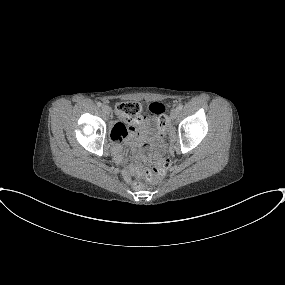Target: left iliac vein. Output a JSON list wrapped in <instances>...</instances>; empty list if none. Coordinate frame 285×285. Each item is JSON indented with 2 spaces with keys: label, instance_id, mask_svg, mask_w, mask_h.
I'll return each mask as SVG.
<instances>
[{
  "label": "left iliac vein",
  "instance_id": "1",
  "mask_svg": "<svg viewBox=\"0 0 285 285\" xmlns=\"http://www.w3.org/2000/svg\"><path fill=\"white\" fill-rule=\"evenodd\" d=\"M179 109L178 108H174V109H172V111H171V114H170V116H171V119H176L177 117H178V115H179Z\"/></svg>",
  "mask_w": 285,
  "mask_h": 285
}]
</instances>
